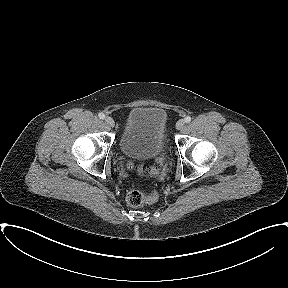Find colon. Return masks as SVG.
Instances as JSON below:
<instances>
[{
    "instance_id": "colon-1",
    "label": "colon",
    "mask_w": 288,
    "mask_h": 288,
    "mask_svg": "<svg viewBox=\"0 0 288 288\" xmlns=\"http://www.w3.org/2000/svg\"><path fill=\"white\" fill-rule=\"evenodd\" d=\"M137 170L139 173L146 172V168L144 166L138 167ZM156 198L157 195L154 192L145 194L138 190H132L127 194L126 201L132 207H139L146 203H151L155 201Z\"/></svg>"
}]
</instances>
